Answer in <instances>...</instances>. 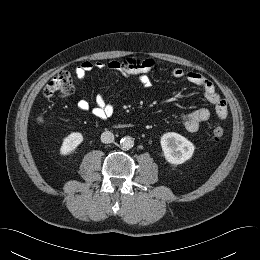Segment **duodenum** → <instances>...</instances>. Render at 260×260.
<instances>
[{
  "mask_svg": "<svg viewBox=\"0 0 260 260\" xmlns=\"http://www.w3.org/2000/svg\"><path fill=\"white\" fill-rule=\"evenodd\" d=\"M121 128H134L133 124H126V125H122L120 126Z\"/></svg>",
  "mask_w": 260,
  "mask_h": 260,
  "instance_id": "obj_1",
  "label": "duodenum"
}]
</instances>
